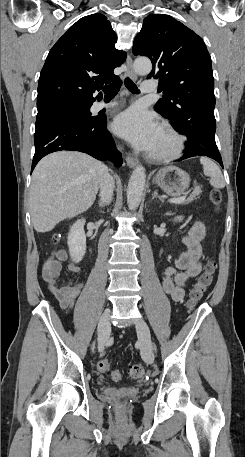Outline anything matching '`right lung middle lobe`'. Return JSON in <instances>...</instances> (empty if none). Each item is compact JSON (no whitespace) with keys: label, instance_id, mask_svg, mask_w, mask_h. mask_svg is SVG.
<instances>
[{"label":"right lung middle lobe","instance_id":"dd1d6c3e","mask_svg":"<svg viewBox=\"0 0 245 457\" xmlns=\"http://www.w3.org/2000/svg\"><path fill=\"white\" fill-rule=\"evenodd\" d=\"M92 104H93V101H90V100H76V101L66 102V103L61 104L60 106H58L55 109L38 112L37 118L42 115H45V114L56 113V112H65V111L77 112V113L84 114L85 116L89 117V116H91L89 109Z\"/></svg>","mask_w":245,"mask_h":457}]
</instances>
